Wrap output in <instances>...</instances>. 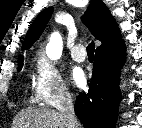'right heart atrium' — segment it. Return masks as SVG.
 <instances>
[{"instance_id": "1", "label": "right heart atrium", "mask_w": 142, "mask_h": 128, "mask_svg": "<svg viewBox=\"0 0 142 128\" xmlns=\"http://www.w3.org/2000/svg\"><path fill=\"white\" fill-rule=\"evenodd\" d=\"M34 90L36 98L45 105H55L70 98V91L62 74L44 56L36 59Z\"/></svg>"}]
</instances>
